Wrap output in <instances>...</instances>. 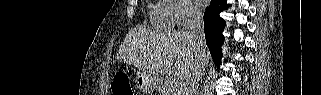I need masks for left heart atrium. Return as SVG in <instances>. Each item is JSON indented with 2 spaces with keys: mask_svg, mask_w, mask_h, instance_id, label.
I'll list each match as a JSON object with an SVG mask.
<instances>
[{
  "mask_svg": "<svg viewBox=\"0 0 321 95\" xmlns=\"http://www.w3.org/2000/svg\"><path fill=\"white\" fill-rule=\"evenodd\" d=\"M197 2H198L200 5H204V4L206 3L205 0H198Z\"/></svg>",
  "mask_w": 321,
  "mask_h": 95,
  "instance_id": "left-heart-atrium-1",
  "label": "left heart atrium"
}]
</instances>
